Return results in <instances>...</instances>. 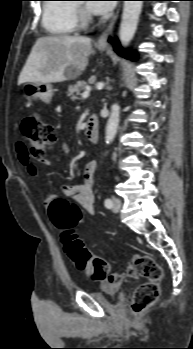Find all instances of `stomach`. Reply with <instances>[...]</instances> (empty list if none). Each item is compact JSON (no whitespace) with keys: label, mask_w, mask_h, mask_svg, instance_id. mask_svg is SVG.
<instances>
[{"label":"stomach","mask_w":193,"mask_h":349,"mask_svg":"<svg viewBox=\"0 0 193 349\" xmlns=\"http://www.w3.org/2000/svg\"><path fill=\"white\" fill-rule=\"evenodd\" d=\"M103 50L100 48V51ZM22 90L28 100L40 99L45 103H50L53 96V88L50 83L26 82L23 84Z\"/></svg>","instance_id":"stomach-1"}]
</instances>
